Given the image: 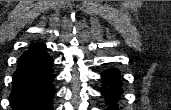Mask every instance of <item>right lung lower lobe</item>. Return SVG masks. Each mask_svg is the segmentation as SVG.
<instances>
[{"label":"right lung lower lobe","instance_id":"98d812e1","mask_svg":"<svg viewBox=\"0 0 171 110\" xmlns=\"http://www.w3.org/2000/svg\"><path fill=\"white\" fill-rule=\"evenodd\" d=\"M45 44L32 43L18 58L10 105L13 110H53L55 74Z\"/></svg>","mask_w":171,"mask_h":110}]
</instances>
